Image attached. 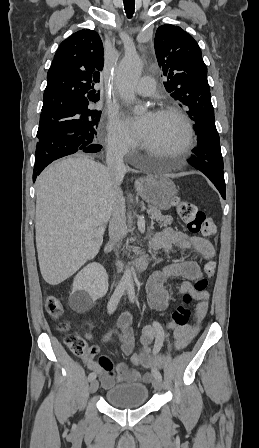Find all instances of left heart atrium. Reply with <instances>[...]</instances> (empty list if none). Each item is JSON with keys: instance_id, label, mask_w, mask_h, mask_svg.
I'll return each instance as SVG.
<instances>
[{"instance_id": "obj_1", "label": "left heart atrium", "mask_w": 259, "mask_h": 448, "mask_svg": "<svg viewBox=\"0 0 259 448\" xmlns=\"http://www.w3.org/2000/svg\"><path fill=\"white\" fill-rule=\"evenodd\" d=\"M154 117V113H148L144 118L140 119V120H133L132 121V125L134 130L140 134L149 124V122L152 120V118Z\"/></svg>"}]
</instances>
